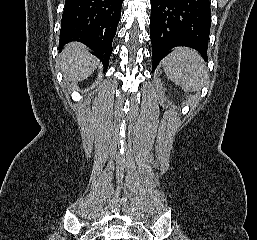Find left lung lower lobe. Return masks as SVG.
<instances>
[{
	"instance_id": "left-lung-lower-lobe-1",
	"label": "left lung lower lobe",
	"mask_w": 257,
	"mask_h": 240,
	"mask_svg": "<svg viewBox=\"0 0 257 240\" xmlns=\"http://www.w3.org/2000/svg\"><path fill=\"white\" fill-rule=\"evenodd\" d=\"M150 24L153 71L178 46L195 49L207 61L210 0H152Z\"/></svg>"
}]
</instances>
